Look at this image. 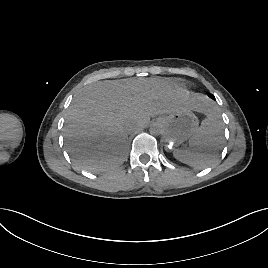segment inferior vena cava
Masks as SVG:
<instances>
[{
	"mask_svg": "<svg viewBox=\"0 0 268 268\" xmlns=\"http://www.w3.org/2000/svg\"><path fill=\"white\" fill-rule=\"evenodd\" d=\"M137 130V127H134V128H131L130 129V132H134V131H136Z\"/></svg>",
	"mask_w": 268,
	"mask_h": 268,
	"instance_id": "602c4592",
	"label": "inferior vena cava"
}]
</instances>
